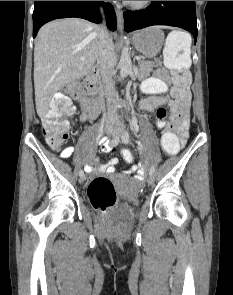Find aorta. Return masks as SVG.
<instances>
[{
	"label": "aorta",
	"mask_w": 233,
	"mask_h": 295,
	"mask_svg": "<svg viewBox=\"0 0 233 295\" xmlns=\"http://www.w3.org/2000/svg\"><path fill=\"white\" fill-rule=\"evenodd\" d=\"M120 76L126 77L132 71V62L130 58V52L127 47H124L120 57Z\"/></svg>",
	"instance_id": "762f6f07"
}]
</instances>
